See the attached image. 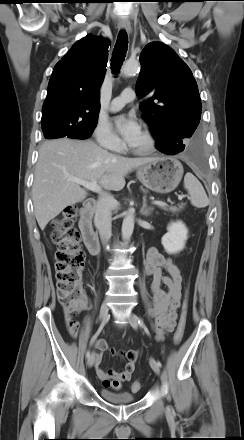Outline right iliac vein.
Masks as SVG:
<instances>
[{"instance_id":"obj_1","label":"right iliac vein","mask_w":244,"mask_h":440,"mask_svg":"<svg viewBox=\"0 0 244 440\" xmlns=\"http://www.w3.org/2000/svg\"><path fill=\"white\" fill-rule=\"evenodd\" d=\"M108 311H109L108 305L106 302H104L100 308V314H99L100 320L102 322H104L107 319ZM87 365H88V367H92L94 365V354L93 353L88 358Z\"/></svg>"}]
</instances>
